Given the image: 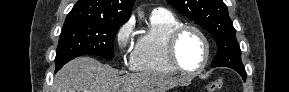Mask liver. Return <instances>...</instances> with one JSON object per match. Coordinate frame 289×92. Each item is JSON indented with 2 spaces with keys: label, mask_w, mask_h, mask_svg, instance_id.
<instances>
[{
  "label": "liver",
  "mask_w": 289,
  "mask_h": 92,
  "mask_svg": "<svg viewBox=\"0 0 289 92\" xmlns=\"http://www.w3.org/2000/svg\"><path fill=\"white\" fill-rule=\"evenodd\" d=\"M177 79L154 73L120 76L109 65L90 57H79L67 63L54 79V92H166L184 84Z\"/></svg>",
  "instance_id": "6515ba94"
}]
</instances>
